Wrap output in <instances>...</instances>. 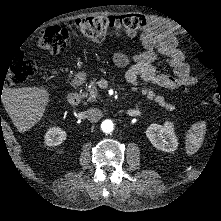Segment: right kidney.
<instances>
[{
    "label": "right kidney",
    "instance_id": "ca27d5eb",
    "mask_svg": "<svg viewBox=\"0 0 221 221\" xmlns=\"http://www.w3.org/2000/svg\"><path fill=\"white\" fill-rule=\"evenodd\" d=\"M67 138V133L58 126L48 128L44 135V143L47 146H57L63 143Z\"/></svg>",
    "mask_w": 221,
    "mask_h": 221
}]
</instances>
